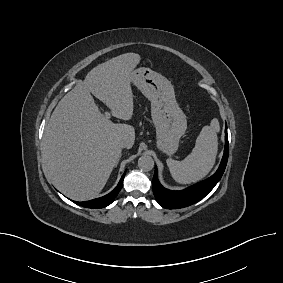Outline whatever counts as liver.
I'll return each instance as SVG.
<instances>
[{"mask_svg": "<svg viewBox=\"0 0 283 283\" xmlns=\"http://www.w3.org/2000/svg\"><path fill=\"white\" fill-rule=\"evenodd\" d=\"M139 54L126 53L93 68L58 103L43 136V158L56 187L85 201L98 195L121 157V141L134 145L135 130L114 124L100 112L91 93L114 117L130 120L134 101L130 83Z\"/></svg>", "mask_w": 283, "mask_h": 283, "instance_id": "obj_1", "label": "liver"}]
</instances>
